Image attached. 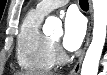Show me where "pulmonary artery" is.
I'll use <instances>...</instances> for the list:
<instances>
[{
    "label": "pulmonary artery",
    "mask_w": 107,
    "mask_h": 75,
    "mask_svg": "<svg viewBox=\"0 0 107 75\" xmlns=\"http://www.w3.org/2000/svg\"><path fill=\"white\" fill-rule=\"evenodd\" d=\"M69 0H43L38 3L36 11L42 15H46L52 10L64 6Z\"/></svg>",
    "instance_id": "e3ab8cb5"
}]
</instances>
